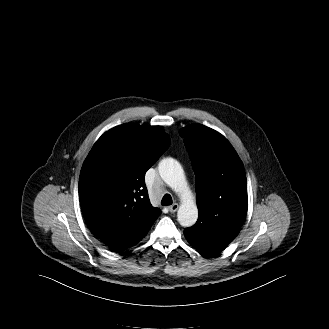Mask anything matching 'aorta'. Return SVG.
Returning a JSON list of instances; mask_svg holds the SVG:
<instances>
[{
  "mask_svg": "<svg viewBox=\"0 0 329 329\" xmlns=\"http://www.w3.org/2000/svg\"><path fill=\"white\" fill-rule=\"evenodd\" d=\"M158 170L163 181L181 198L177 212L179 224L183 227L193 226L198 219V209L180 163L173 158H165L159 162Z\"/></svg>",
  "mask_w": 329,
  "mask_h": 329,
  "instance_id": "aorta-1",
  "label": "aorta"
}]
</instances>
